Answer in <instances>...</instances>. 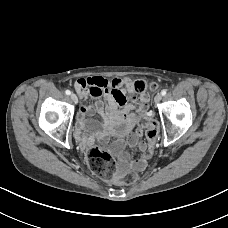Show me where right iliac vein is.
Masks as SVG:
<instances>
[{
  "mask_svg": "<svg viewBox=\"0 0 228 228\" xmlns=\"http://www.w3.org/2000/svg\"><path fill=\"white\" fill-rule=\"evenodd\" d=\"M70 97H71V100L73 101V103H75V104L78 103V97L76 96V94L72 93Z\"/></svg>",
  "mask_w": 228,
  "mask_h": 228,
  "instance_id": "63e3f726",
  "label": "right iliac vein"
}]
</instances>
